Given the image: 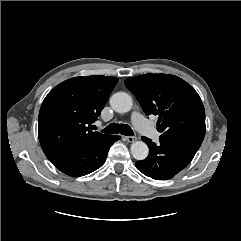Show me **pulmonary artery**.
Returning <instances> with one entry per match:
<instances>
[{"label":"pulmonary artery","instance_id":"e3ab8cb5","mask_svg":"<svg viewBox=\"0 0 241 241\" xmlns=\"http://www.w3.org/2000/svg\"><path fill=\"white\" fill-rule=\"evenodd\" d=\"M132 122L135 128L146 136L157 140L159 138L158 131L149 124L139 113L134 112L132 114Z\"/></svg>","mask_w":241,"mask_h":241}]
</instances>
